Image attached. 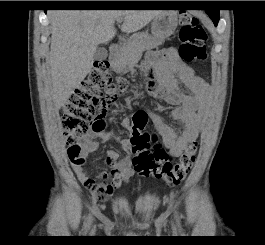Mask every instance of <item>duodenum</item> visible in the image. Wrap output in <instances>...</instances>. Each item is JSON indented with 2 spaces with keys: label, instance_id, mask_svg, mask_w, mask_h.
<instances>
[{
  "label": "duodenum",
  "instance_id": "1",
  "mask_svg": "<svg viewBox=\"0 0 265 245\" xmlns=\"http://www.w3.org/2000/svg\"><path fill=\"white\" fill-rule=\"evenodd\" d=\"M119 54V44L118 43H113L109 47V58L111 60H116L118 58Z\"/></svg>",
  "mask_w": 265,
  "mask_h": 245
}]
</instances>
